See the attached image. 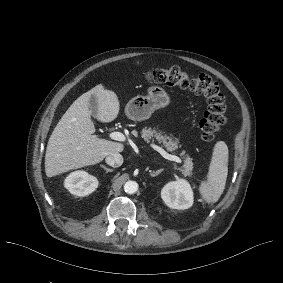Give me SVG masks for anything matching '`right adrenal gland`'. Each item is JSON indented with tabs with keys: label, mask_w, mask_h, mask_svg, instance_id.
Masks as SVG:
<instances>
[{
	"label": "right adrenal gland",
	"mask_w": 283,
	"mask_h": 283,
	"mask_svg": "<svg viewBox=\"0 0 283 283\" xmlns=\"http://www.w3.org/2000/svg\"><path fill=\"white\" fill-rule=\"evenodd\" d=\"M100 167L106 170L107 173L113 171V169L107 168L105 165H102V164H100Z\"/></svg>",
	"instance_id": "obj_1"
}]
</instances>
